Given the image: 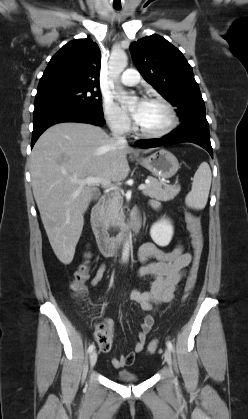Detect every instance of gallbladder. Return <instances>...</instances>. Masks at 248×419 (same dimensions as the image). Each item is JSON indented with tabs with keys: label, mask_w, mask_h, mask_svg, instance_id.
I'll list each match as a JSON object with an SVG mask.
<instances>
[{
	"label": "gallbladder",
	"mask_w": 248,
	"mask_h": 419,
	"mask_svg": "<svg viewBox=\"0 0 248 419\" xmlns=\"http://www.w3.org/2000/svg\"><path fill=\"white\" fill-rule=\"evenodd\" d=\"M98 197H99V195H98V194H94V195H93V200H97V199H98Z\"/></svg>",
	"instance_id": "bac80fb5"
}]
</instances>
